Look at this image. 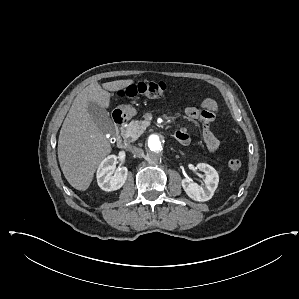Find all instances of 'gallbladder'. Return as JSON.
I'll use <instances>...</instances> for the list:
<instances>
[{
	"label": "gallbladder",
	"mask_w": 299,
	"mask_h": 299,
	"mask_svg": "<svg viewBox=\"0 0 299 299\" xmlns=\"http://www.w3.org/2000/svg\"><path fill=\"white\" fill-rule=\"evenodd\" d=\"M88 111L95 123L104 133L113 132V123L109 112L106 109L100 107L96 103L89 102Z\"/></svg>",
	"instance_id": "obj_1"
}]
</instances>
